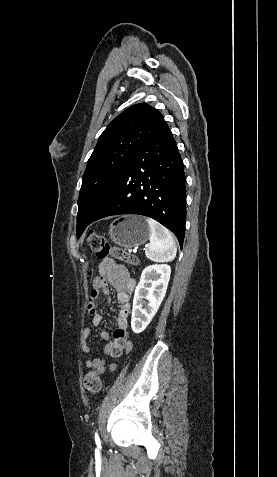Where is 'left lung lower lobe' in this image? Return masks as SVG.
<instances>
[{"label":"left lung lower lobe","mask_w":277,"mask_h":477,"mask_svg":"<svg viewBox=\"0 0 277 477\" xmlns=\"http://www.w3.org/2000/svg\"><path fill=\"white\" fill-rule=\"evenodd\" d=\"M139 214L171 230L183 245L186 189L183 162L168 125L123 167L92 222L111 215Z\"/></svg>","instance_id":"left-lung-lower-lobe-1"}]
</instances>
